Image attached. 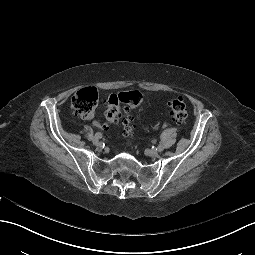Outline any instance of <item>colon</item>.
I'll use <instances>...</instances> for the list:
<instances>
[{"mask_svg": "<svg viewBox=\"0 0 255 255\" xmlns=\"http://www.w3.org/2000/svg\"><path fill=\"white\" fill-rule=\"evenodd\" d=\"M143 101L142 94L138 91H123L118 94H111L106 102V121L112 124L121 113V104H125L123 113V123L125 133L132 131V112ZM98 103V93L94 88H84L74 94L71 101V108L84 118L91 117ZM170 114L178 124H183L187 117V107L181 98H176L170 102Z\"/></svg>", "mask_w": 255, "mask_h": 255, "instance_id": "5ec220e1", "label": "colon"}]
</instances>
